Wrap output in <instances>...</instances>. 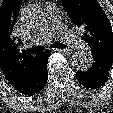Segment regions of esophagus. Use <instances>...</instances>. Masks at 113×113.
<instances>
[{
	"instance_id": "esophagus-1",
	"label": "esophagus",
	"mask_w": 113,
	"mask_h": 113,
	"mask_svg": "<svg viewBox=\"0 0 113 113\" xmlns=\"http://www.w3.org/2000/svg\"><path fill=\"white\" fill-rule=\"evenodd\" d=\"M54 50L58 51V52H61V53H64L66 55H70L72 53L71 49H54Z\"/></svg>"
}]
</instances>
